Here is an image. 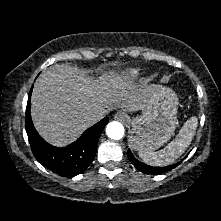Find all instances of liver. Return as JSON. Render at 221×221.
<instances>
[{
  "label": "liver",
  "mask_w": 221,
  "mask_h": 221,
  "mask_svg": "<svg viewBox=\"0 0 221 221\" xmlns=\"http://www.w3.org/2000/svg\"><path fill=\"white\" fill-rule=\"evenodd\" d=\"M110 74L92 80L66 64L46 69L35 82L31 97L32 121L39 134L48 143L63 147L91 125L86 121L91 114L105 115L114 107L142 109L150 87Z\"/></svg>",
  "instance_id": "liver-1"
}]
</instances>
